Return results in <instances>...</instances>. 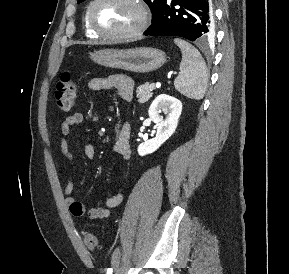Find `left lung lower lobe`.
<instances>
[{"mask_svg": "<svg viewBox=\"0 0 289 274\" xmlns=\"http://www.w3.org/2000/svg\"><path fill=\"white\" fill-rule=\"evenodd\" d=\"M144 35L180 36L206 42L214 35L210 0H166L159 17Z\"/></svg>", "mask_w": 289, "mask_h": 274, "instance_id": "1", "label": "left lung lower lobe"}]
</instances>
